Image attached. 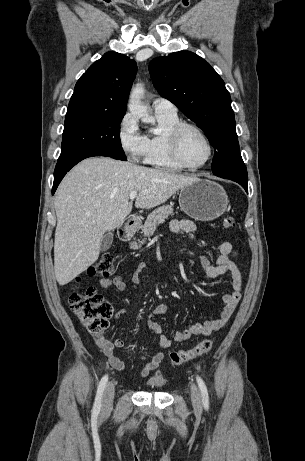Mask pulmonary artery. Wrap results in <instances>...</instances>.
I'll use <instances>...</instances> for the list:
<instances>
[{"instance_id": "1", "label": "pulmonary artery", "mask_w": 305, "mask_h": 461, "mask_svg": "<svg viewBox=\"0 0 305 461\" xmlns=\"http://www.w3.org/2000/svg\"><path fill=\"white\" fill-rule=\"evenodd\" d=\"M153 108L157 113H177L175 105L169 100L162 97H157L156 99H154Z\"/></svg>"}]
</instances>
